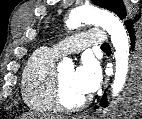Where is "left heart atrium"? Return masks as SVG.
I'll return each mask as SVG.
<instances>
[{"label": "left heart atrium", "instance_id": "obj_1", "mask_svg": "<svg viewBox=\"0 0 142 119\" xmlns=\"http://www.w3.org/2000/svg\"><path fill=\"white\" fill-rule=\"evenodd\" d=\"M73 82L77 90L85 96L92 94L100 82V73L97 66L84 61L73 74Z\"/></svg>", "mask_w": 142, "mask_h": 119}]
</instances>
